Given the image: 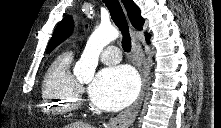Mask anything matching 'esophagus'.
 <instances>
[{"label": "esophagus", "instance_id": "esophagus-1", "mask_svg": "<svg viewBox=\"0 0 221 128\" xmlns=\"http://www.w3.org/2000/svg\"><path fill=\"white\" fill-rule=\"evenodd\" d=\"M130 31L132 37L133 61L138 67L142 80L141 91L138 98L131 106L120 112L115 118H112L108 122L107 126L110 128H127L133 123L142 106L148 83V70L138 36L133 28H131Z\"/></svg>", "mask_w": 221, "mask_h": 128}]
</instances>
